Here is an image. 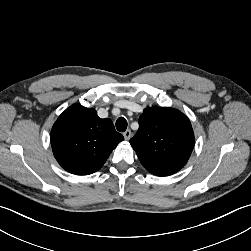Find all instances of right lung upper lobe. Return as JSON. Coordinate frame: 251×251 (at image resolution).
I'll use <instances>...</instances> for the list:
<instances>
[{
    "mask_svg": "<svg viewBox=\"0 0 251 251\" xmlns=\"http://www.w3.org/2000/svg\"><path fill=\"white\" fill-rule=\"evenodd\" d=\"M51 146L58 163L75 175L98 171L119 142L111 119H101L95 109L74 104L67 108L51 130Z\"/></svg>",
    "mask_w": 251,
    "mask_h": 251,
    "instance_id": "1",
    "label": "right lung upper lobe"
}]
</instances>
